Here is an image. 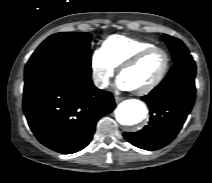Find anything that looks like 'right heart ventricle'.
<instances>
[{"label": "right heart ventricle", "mask_w": 212, "mask_h": 183, "mask_svg": "<svg viewBox=\"0 0 212 183\" xmlns=\"http://www.w3.org/2000/svg\"><path fill=\"white\" fill-rule=\"evenodd\" d=\"M152 46H156V44L146 40L115 35L106 39L102 48L114 66L119 67L141 50Z\"/></svg>", "instance_id": "e07e8e85"}]
</instances>
